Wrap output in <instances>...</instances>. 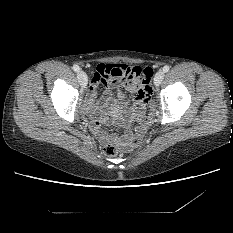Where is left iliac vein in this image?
<instances>
[{
    "mask_svg": "<svg viewBox=\"0 0 233 233\" xmlns=\"http://www.w3.org/2000/svg\"><path fill=\"white\" fill-rule=\"evenodd\" d=\"M163 78H164V72L162 70H159L154 77V84L156 86H159L161 84Z\"/></svg>",
    "mask_w": 233,
    "mask_h": 233,
    "instance_id": "1",
    "label": "left iliac vein"
}]
</instances>
